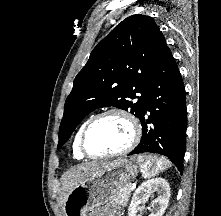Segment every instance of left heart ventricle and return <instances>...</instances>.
<instances>
[{
    "label": "left heart ventricle",
    "mask_w": 221,
    "mask_h": 216,
    "mask_svg": "<svg viewBox=\"0 0 221 216\" xmlns=\"http://www.w3.org/2000/svg\"><path fill=\"white\" fill-rule=\"evenodd\" d=\"M131 128L123 118L110 115L97 121L86 135V147L94 154L121 150L130 141Z\"/></svg>",
    "instance_id": "obj_1"
}]
</instances>
